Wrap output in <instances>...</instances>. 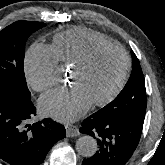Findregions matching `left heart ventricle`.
Masks as SVG:
<instances>
[{"instance_id":"obj_1","label":"left heart ventricle","mask_w":165,"mask_h":165,"mask_svg":"<svg viewBox=\"0 0 165 165\" xmlns=\"http://www.w3.org/2000/svg\"><path fill=\"white\" fill-rule=\"evenodd\" d=\"M123 69V56L116 50L99 52L88 67L73 69L72 86L79 88L90 102L106 96L117 83Z\"/></svg>"}]
</instances>
